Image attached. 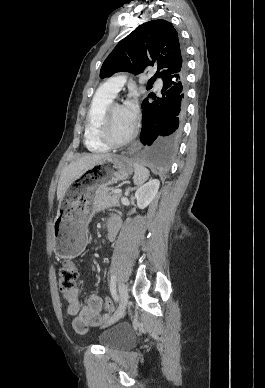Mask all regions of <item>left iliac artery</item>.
<instances>
[{"label": "left iliac artery", "mask_w": 265, "mask_h": 388, "mask_svg": "<svg viewBox=\"0 0 265 388\" xmlns=\"http://www.w3.org/2000/svg\"><path fill=\"white\" fill-rule=\"evenodd\" d=\"M110 291L112 297L118 301V297L116 294V276L114 274L111 275V280H110Z\"/></svg>", "instance_id": "1"}]
</instances>
